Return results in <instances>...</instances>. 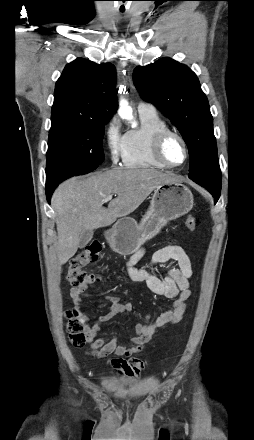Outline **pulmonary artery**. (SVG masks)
<instances>
[{"label": "pulmonary artery", "instance_id": "pulmonary-artery-1", "mask_svg": "<svg viewBox=\"0 0 254 440\" xmlns=\"http://www.w3.org/2000/svg\"><path fill=\"white\" fill-rule=\"evenodd\" d=\"M139 112H153L155 108L149 103L140 102L137 106Z\"/></svg>", "mask_w": 254, "mask_h": 440}]
</instances>
